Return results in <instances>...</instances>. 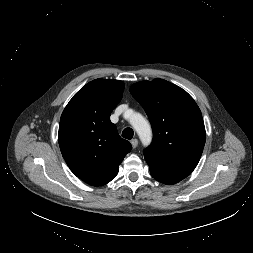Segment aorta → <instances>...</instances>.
<instances>
[{
	"mask_svg": "<svg viewBox=\"0 0 253 253\" xmlns=\"http://www.w3.org/2000/svg\"><path fill=\"white\" fill-rule=\"evenodd\" d=\"M130 123L139 135L142 144L148 146L152 140V131L147 120L141 114L133 112Z\"/></svg>",
	"mask_w": 253,
	"mask_h": 253,
	"instance_id": "obj_1",
	"label": "aorta"
}]
</instances>
